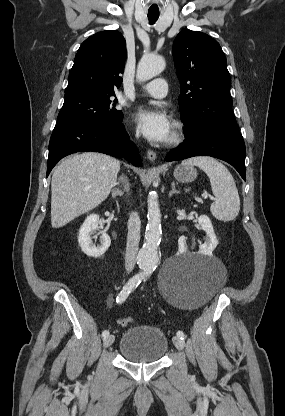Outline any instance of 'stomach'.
<instances>
[{
  "instance_id": "1",
  "label": "stomach",
  "mask_w": 285,
  "mask_h": 416,
  "mask_svg": "<svg viewBox=\"0 0 285 416\" xmlns=\"http://www.w3.org/2000/svg\"><path fill=\"white\" fill-rule=\"evenodd\" d=\"M173 174L178 182H193L197 178V172L193 166H176Z\"/></svg>"
}]
</instances>
